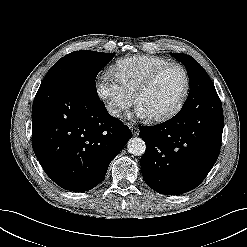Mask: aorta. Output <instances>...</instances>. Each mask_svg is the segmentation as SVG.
Returning <instances> with one entry per match:
<instances>
[{
  "label": "aorta",
  "instance_id": "762f6f07",
  "mask_svg": "<svg viewBox=\"0 0 247 247\" xmlns=\"http://www.w3.org/2000/svg\"><path fill=\"white\" fill-rule=\"evenodd\" d=\"M128 151L135 156H142L146 150V144L140 137H133L127 143Z\"/></svg>",
  "mask_w": 247,
  "mask_h": 247
}]
</instances>
